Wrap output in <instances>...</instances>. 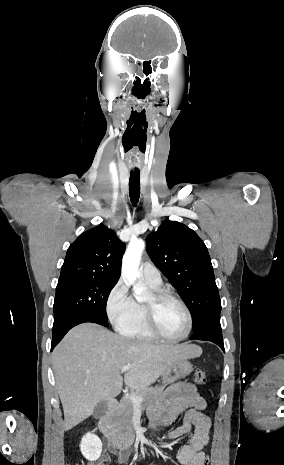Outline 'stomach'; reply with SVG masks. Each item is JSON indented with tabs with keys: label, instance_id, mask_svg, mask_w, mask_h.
Returning <instances> with one entry per match:
<instances>
[{
	"label": "stomach",
	"instance_id": "1",
	"mask_svg": "<svg viewBox=\"0 0 284 465\" xmlns=\"http://www.w3.org/2000/svg\"><path fill=\"white\" fill-rule=\"evenodd\" d=\"M193 371V365L187 361V359H180L177 363H174L172 367H169L165 373H163V381L164 383H174V381H178V379H184L187 375H190Z\"/></svg>",
	"mask_w": 284,
	"mask_h": 465
}]
</instances>
